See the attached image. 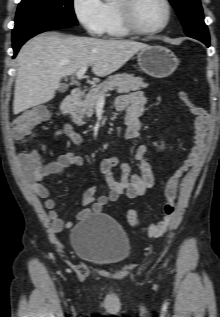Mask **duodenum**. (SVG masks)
Returning <instances> with one entry per match:
<instances>
[{
    "label": "duodenum",
    "mask_w": 220,
    "mask_h": 317,
    "mask_svg": "<svg viewBox=\"0 0 220 317\" xmlns=\"http://www.w3.org/2000/svg\"><path fill=\"white\" fill-rule=\"evenodd\" d=\"M83 94L84 91L80 87L74 88L70 92V94L63 100L61 104L60 110L62 116L67 117L75 110L76 105L82 98Z\"/></svg>",
    "instance_id": "duodenum-1"
}]
</instances>
